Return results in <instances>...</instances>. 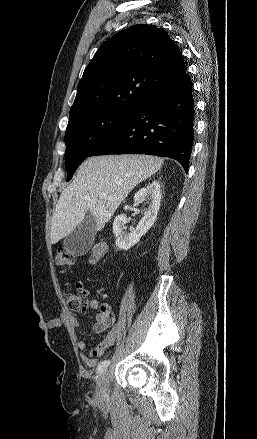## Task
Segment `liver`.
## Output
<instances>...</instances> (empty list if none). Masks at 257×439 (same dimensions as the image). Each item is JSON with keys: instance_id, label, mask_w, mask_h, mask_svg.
Here are the masks:
<instances>
[{"instance_id": "obj_1", "label": "liver", "mask_w": 257, "mask_h": 439, "mask_svg": "<svg viewBox=\"0 0 257 439\" xmlns=\"http://www.w3.org/2000/svg\"><path fill=\"white\" fill-rule=\"evenodd\" d=\"M163 161L150 155L88 158L60 195L52 216L51 243L68 236L83 222L87 212L95 218L96 230H102L131 190L156 173ZM103 193L113 199H100Z\"/></svg>"}]
</instances>
